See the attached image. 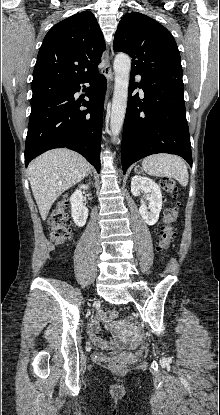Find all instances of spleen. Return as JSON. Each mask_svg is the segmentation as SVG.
<instances>
[{"label":"spleen","instance_id":"obj_1","mask_svg":"<svg viewBox=\"0 0 220 415\" xmlns=\"http://www.w3.org/2000/svg\"><path fill=\"white\" fill-rule=\"evenodd\" d=\"M144 171L156 177H171L182 186L188 184V170L185 162L178 156L170 154H155L142 161Z\"/></svg>","mask_w":220,"mask_h":415}]
</instances>
